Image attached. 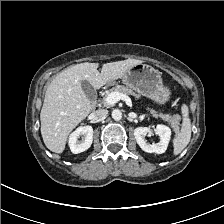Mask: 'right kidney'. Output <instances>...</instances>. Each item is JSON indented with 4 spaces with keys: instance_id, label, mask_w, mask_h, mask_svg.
I'll list each match as a JSON object with an SVG mask.
<instances>
[{
    "instance_id": "ca27d5eb",
    "label": "right kidney",
    "mask_w": 224,
    "mask_h": 224,
    "mask_svg": "<svg viewBox=\"0 0 224 224\" xmlns=\"http://www.w3.org/2000/svg\"><path fill=\"white\" fill-rule=\"evenodd\" d=\"M82 136V141L78 138ZM93 141V128L91 126L78 127L69 138V147L72 153L78 154L90 148Z\"/></svg>"
}]
</instances>
